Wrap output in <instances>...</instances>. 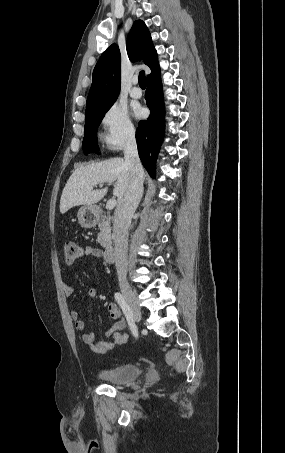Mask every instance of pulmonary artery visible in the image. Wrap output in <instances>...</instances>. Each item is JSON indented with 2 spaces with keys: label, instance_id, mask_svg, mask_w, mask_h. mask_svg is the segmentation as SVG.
<instances>
[{
  "label": "pulmonary artery",
  "instance_id": "e3ab8cb5",
  "mask_svg": "<svg viewBox=\"0 0 285 453\" xmlns=\"http://www.w3.org/2000/svg\"><path fill=\"white\" fill-rule=\"evenodd\" d=\"M130 95L133 98H140L142 96V90L138 86V78L133 79V86L130 90Z\"/></svg>",
  "mask_w": 285,
  "mask_h": 453
}]
</instances>
